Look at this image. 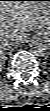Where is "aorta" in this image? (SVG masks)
<instances>
[{"instance_id": "aorta-1", "label": "aorta", "mask_w": 50, "mask_h": 111, "mask_svg": "<svg viewBox=\"0 0 50 111\" xmlns=\"http://www.w3.org/2000/svg\"><path fill=\"white\" fill-rule=\"evenodd\" d=\"M30 49L32 53L36 55H44V50H46V46L42 45L41 42L34 40L32 41V44L30 45Z\"/></svg>"}]
</instances>
